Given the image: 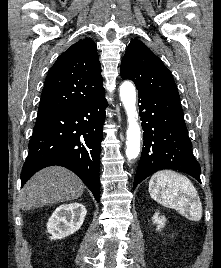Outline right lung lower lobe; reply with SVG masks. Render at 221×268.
Wrapping results in <instances>:
<instances>
[{"label":"right lung lower lobe","mask_w":221,"mask_h":268,"mask_svg":"<svg viewBox=\"0 0 221 268\" xmlns=\"http://www.w3.org/2000/svg\"><path fill=\"white\" fill-rule=\"evenodd\" d=\"M107 102L100 98L65 110L38 114L21 172V186L40 169L64 166L100 198L99 161Z\"/></svg>","instance_id":"98d812e1"}]
</instances>
